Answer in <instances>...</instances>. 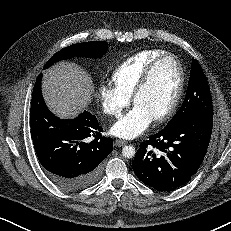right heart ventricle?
<instances>
[{
	"mask_svg": "<svg viewBox=\"0 0 231 231\" xmlns=\"http://www.w3.org/2000/svg\"><path fill=\"white\" fill-rule=\"evenodd\" d=\"M164 53L163 50L152 49L138 52L129 57L113 72L114 85L125 95L131 97L147 65Z\"/></svg>",
	"mask_w": 231,
	"mask_h": 231,
	"instance_id": "obj_1",
	"label": "right heart ventricle"
}]
</instances>
